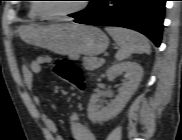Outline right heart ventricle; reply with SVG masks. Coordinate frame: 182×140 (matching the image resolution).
I'll use <instances>...</instances> for the list:
<instances>
[{
    "label": "right heart ventricle",
    "mask_w": 182,
    "mask_h": 140,
    "mask_svg": "<svg viewBox=\"0 0 182 140\" xmlns=\"http://www.w3.org/2000/svg\"><path fill=\"white\" fill-rule=\"evenodd\" d=\"M31 14H32V15H35V13H34V11H33V10H31Z\"/></svg>",
    "instance_id": "e07e8e85"
}]
</instances>
